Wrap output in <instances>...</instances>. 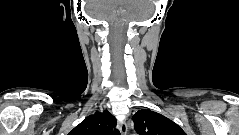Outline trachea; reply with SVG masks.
<instances>
[{"label": "trachea", "instance_id": "3493384b", "mask_svg": "<svg viewBox=\"0 0 239 135\" xmlns=\"http://www.w3.org/2000/svg\"><path fill=\"white\" fill-rule=\"evenodd\" d=\"M114 135H120V131L118 129H115Z\"/></svg>", "mask_w": 239, "mask_h": 135}]
</instances>
